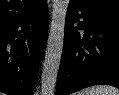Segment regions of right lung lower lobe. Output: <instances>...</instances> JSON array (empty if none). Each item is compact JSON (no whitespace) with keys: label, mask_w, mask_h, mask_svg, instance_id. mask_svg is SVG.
<instances>
[{"label":"right lung lower lobe","mask_w":119,"mask_h":95,"mask_svg":"<svg viewBox=\"0 0 119 95\" xmlns=\"http://www.w3.org/2000/svg\"><path fill=\"white\" fill-rule=\"evenodd\" d=\"M48 21L45 0L29 14L0 26V92L33 95Z\"/></svg>","instance_id":"obj_1"}]
</instances>
